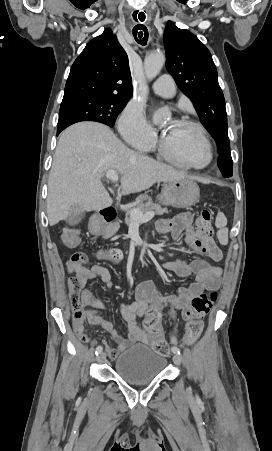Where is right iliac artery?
<instances>
[{
    "mask_svg": "<svg viewBox=\"0 0 272 451\" xmlns=\"http://www.w3.org/2000/svg\"><path fill=\"white\" fill-rule=\"evenodd\" d=\"M102 350H103L102 346H100V345L97 346V347H96V350H95V354H96V355H99V354L102 352Z\"/></svg>",
    "mask_w": 272,
    "mask_h": 451,
    "instance_id": "obj_1",
    "label": "right iliac artery"
}]
</instances>
